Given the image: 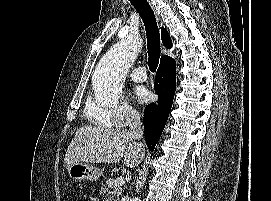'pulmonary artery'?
Wrapping results in <instances>:
<instances>
[{
	"instance_id": "1",
	"label": "pulmonary artery",
	"mask_w": 271,
	"mask_h": 201,
	"mask_svg": "<svg viewBox=\"0 0 271 201\" xmlns=\"http://www.w3.org/2000/svg\"><path fill=\"white\" fill-rule=\"evenodd\" d=\"M129 76L134 82H144L147 80V74H146L145 67H139V68L134 69L129 74Z\"/></svg>"
}]
</instances>
